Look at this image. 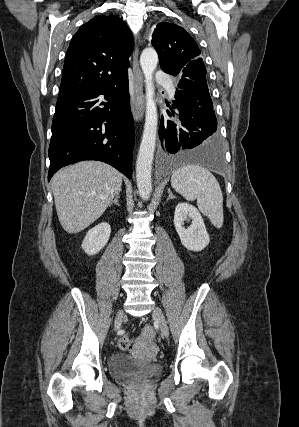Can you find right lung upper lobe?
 Returning <instances> with one entry per match:
<instances>
[{
  "mask_svg": "<svg viewBox=\"0 0 299 427\" xmlns=\"http://www.w3.org/2000/svg\"><path fill=\"white\" fill-rule=\"evenodd\" d=\"M133 47L130 29L114 15L96 16L83 24L66 53L59 99L121 77Z\"/></svg>",
  "mask_w": 299,
  "mask_h": 427,
  "instance_id": "cb5924a9",
  "label": "right lung upper lobe"
}]
</instances>
